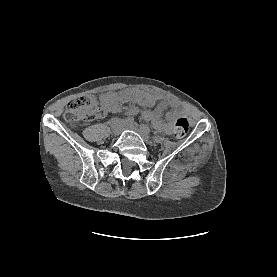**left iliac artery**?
Masks as SVG:
<instances>
[{
	"label": "left iliac artery",
	"mask_w": 277,
	"mask_h": 277,
	"mask_svg": "<svg viewBox=\"0 0 277 277\" xmlns=\"http://www.w3.org/2000/svg\"><path fill=\"white\" fill-rule=\"evenodd\" d=\"M140 129H141L143 132H145L146 134H150V133H151V129H150L147 125H145V124H141V125H140Z\"/></svg>",
	"instance_id": "obj_1"
}]
</instances>
